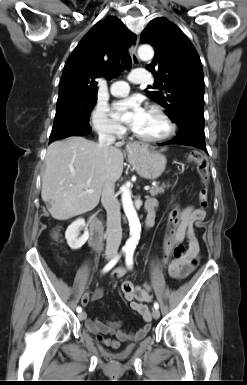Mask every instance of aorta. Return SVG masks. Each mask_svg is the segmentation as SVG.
<instances>
[{"mask_svg": "<svg viewBox=\"0 0 247 385\" xmlns=\"http://www.w3.org/2000/svg\"><path fill=\"white\" fill-rule=\"evenodd\" d=\"M138 55L142 60H150L154 56V50L150 45H141L138 49ZM121 190L122 205L130 227V237L124 246V250L133 252L140 239L141 225L133 206L128 184L122 186Z\"/></svg>", "mask_w": 247, "mask_h": 385, "instance_id": "1", "label": "aorta"}]
</instances>
